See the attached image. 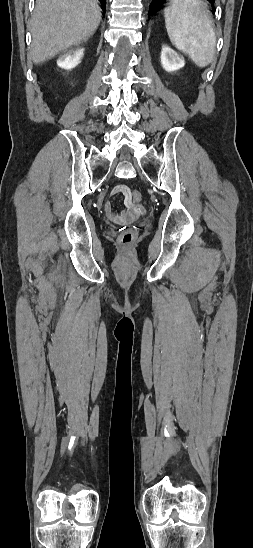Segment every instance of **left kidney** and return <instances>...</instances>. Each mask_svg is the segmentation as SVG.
Here are the masks:
<instances>
[{
  "label": "left kidney",
  "instance_id": "left-kidney-1",
  "mask_svg": "<svg viewBox=\"0 0 253 548\" xmlns=\"http://www.w3.org/2000/svg\"><path fill=\"white\" fill-rule=\"evenodd\" d=\"M161 64L167 72L176 71L185 65L184 58L170 47L163 45L161 50Z\"/></svg>",
  "mask_w": 253,
  "mask_h": 548
}]
</instances>
